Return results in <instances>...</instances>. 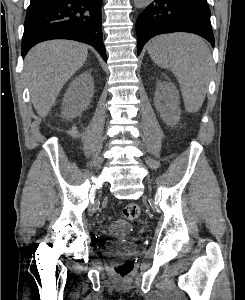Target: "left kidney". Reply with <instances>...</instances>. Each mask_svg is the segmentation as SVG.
Here are the masks:
<instances>
[{
    "label": "left kidney",
    "mask_w": 245,
    "mask_h": 300,
    "mask_svg": "<svg viewBox=\"0 0 245 300\" xmlns=\"http://www.w3.org/2000/svg\"><path fill=\"white\" fill-rule=\"evenodd\" d=\"M154 101L155 107L164 121L171 123L178 119L180 114L179 96L172 83L157 84Z\"/></svg>",
    "instance_id": "obj_1"
}]
</instances>
